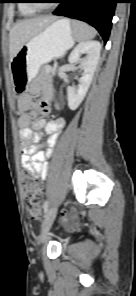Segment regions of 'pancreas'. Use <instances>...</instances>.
Instances as JSON below:
<instances>
[{
	"label": "pancreas",
	"instance_id": "1",
	"mask_svg": "<svg viewBox=\"0 0 136 296\" xmlns=\"http://www.w3.org/2000/svg\"><path fill=\"white\" fill-rule=\"evenodd\" d=\"M50 69H51L50 66H48V65L44 66L43 69L41 70V75H43V76H45L47 78H50V74H49Z\"/></svg>",
	"mask_w": 136,
	"mask_h": 296
}]
</instances>
